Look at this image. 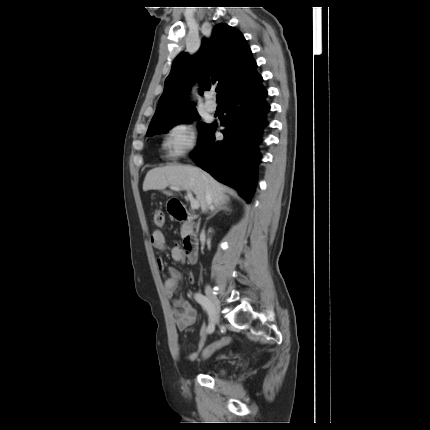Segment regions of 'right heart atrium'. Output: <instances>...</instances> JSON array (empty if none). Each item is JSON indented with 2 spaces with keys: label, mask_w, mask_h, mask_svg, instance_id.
I'll use <instances>...</instances> for the list:
<instances>
[{
  "label": "right heart atrium",
  "mask_w": 430,
  "mask_h": 430,
  "mask_svg": "<svg viewBox=\"0 0 430 430\" xmlns=\"http://www.w3.org/2000/svg\"><path fill=\"white\" fill-rule=\"evenodd\" d=\"M195 143L194 125L190 122L179 121L167 130L162 147L168 157L177 158L191 150Z\"/></svg>",
  "instance_id": "d8ad5b80"
}]
</instances>
